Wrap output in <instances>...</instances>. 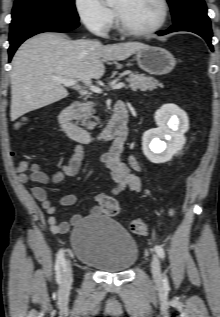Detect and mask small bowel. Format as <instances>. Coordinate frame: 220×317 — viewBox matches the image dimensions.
I'll return each instance as SVG.
<instances>
[{
  "mask_svg": "<svg viewBox=\"0 0 220 317\" xmlns=\"http://www.w3.org/2000/svg\"><path fill=\"white\" fill-rule=\"evenodd\" d=\"M122 148L123 146L112 144V147L99 158L105 170L115 183L113 195H119L125 191L138 193L142 188L139 175L137 174V172L142 171V167L134 155L129 157L128 164L121 160ZM83 156V145L77 143L69 161L51 175L41 171L39 165L36 163L28 164L27 162H21L17 167L19 180L22 183L35 182L43 185L58 184L62 182L65 177H73L79 173ZM130 167L134 169L135 172L132 171ZM31 192L34 198L40 203L41 208L48 214V224L51 231L55 233H66L71 225L81 221V215L76 214L69 222L58 223L56 217L57 205L49 200L46 190L42 186H34L31 188ZM108 197L110 196L106 193L95 195L96 205L90 210L93 216L102 215L104 213L103 202ZM76 202L77 196L75 194H67L59 199L58 206H71Z\"/></svg>",
  "mask_w": 220,
  "mask_h": 317,
  "instance_id": "small-bowel-1",
  "label": "small bowel"
}]
</instances>
